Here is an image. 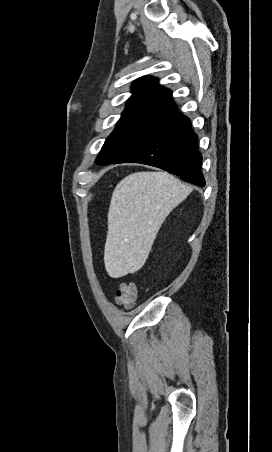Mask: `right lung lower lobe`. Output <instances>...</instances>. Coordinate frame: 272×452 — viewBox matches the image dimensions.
Returning <instances> with one entry per match:
<instances>
[{
	"label": "right lung lower lobe",
	"mask_w": 272,
	"mask_h": 452,
	"mask_svg": "<svg viewBox=\"0 0 272 452\" xmlns=\"http://www.w3.org/2000/svg\"><path fill=\"white\" fill-rule=\"evenodd\" d=\"M141 163L161 168L204 187L202 155L190 120L180 112L158 117L149 129L112 164Z\"/></svg>",
	"instance_id": "obj_1"
}]
</instances>
